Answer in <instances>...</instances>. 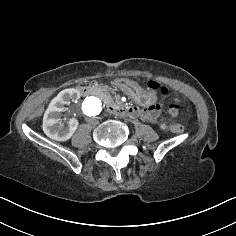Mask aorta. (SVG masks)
Here are the masks:
<instances>
[{"label": "aorta", "mask_w": 236, "mask_h": 236, "mask_svg": "<svg viewBox=\"0 0 236 236\" xmlns=\"http://www.w3.org/2000/svg\"><path fill=\"white\" fill-rule=\"evenodd\" d=\"M81 112L85 118H93L102 112V101L96 96L86 97L81 106Z\"/></svg>", "instance_id": "obj_1"}]
</instances>
